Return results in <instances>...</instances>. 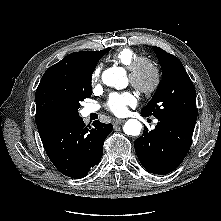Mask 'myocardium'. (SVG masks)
<instances>
[{"label":"myocardium","mask_w":221,"mask_h":221,"mask_svg":"<svg viewBox=\"0 0 221 221\" xmlns=\"http://www.w3.org/2000/svg\"><path fill=\"white\" fill-rule=\"evenodd\" d=\"M144 69L151 72V80L148 83L142 80L141 74ZM129 80L139 93L148 96L155 93L159 88L162 80L161 70L153 59L139 56L129 67Z\"/></svg>","instance_id":"obj_1"}]
</instances>
